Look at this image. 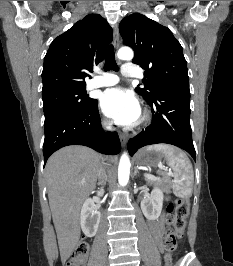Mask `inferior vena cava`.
Here are the masks:
<instances>
[{
  "mask_svg": "<svg viewBox=\"0 0 233 266\" xmlns=\"http://www.w3.org/2000/svg\"><path fill=\"white\" fill-rule=\"evenodd\" d=\"M105 129L106 130H112V124L111 123L105 124ZM106 168H107L106 164L102 163L100 166V169H99L98 177L102 183H104V181L106 180V177H107Z\"/></svg>",
  "mask_w": 233,
  "mask_h": 266,
  "instance_id": "602c4592",
  "label": "inferior vena cava"
}]
</instances>
